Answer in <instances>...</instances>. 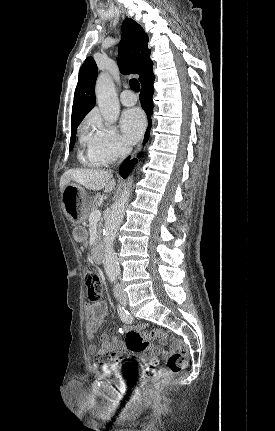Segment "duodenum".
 <instances>
[{"mask_svg": "<svg viewBox=\"0 0 275 431\" xmlns=\"http://www.w3.org/2000/svg\"><path fill=\"white\" fill-rule=\"evenodd\" d=\"M92 257L95 263L100 264L104 259V247L100 239H98L92 249Z\"/></svg>", "mask_w": 275, "mask_h": 431, "instance_id": "duodenum-1", "label": "duodenum"}]
</instances>
